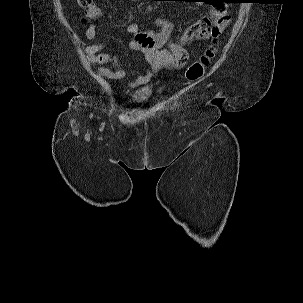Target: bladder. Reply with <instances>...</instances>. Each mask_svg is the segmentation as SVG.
<instances>
[{
  "label": "bladder",
  "mask_w": 303,
  "mask_h": 303,
  "mask_svg": "<svg viewBox=\"0 0 303 303\" xmlns=\"http://www.w3.org/2000/svg\"><path fill=\"white\" fill-rule=\"evenodd\" d=\"M148 100V96L142 95V94H134L132 95L130 102L135 105H141L145 103Z\"/></svg>",
  "instance_id": "1"
}]
</instances>
